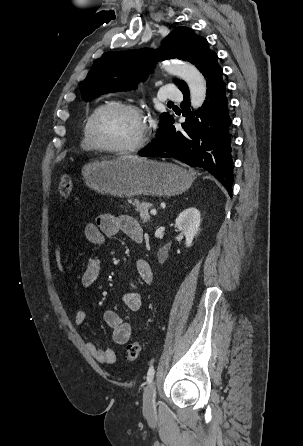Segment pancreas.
Wrapping results in <instances>:
<instances>
[{"instance_id": "cf45deb5", "label": "pancreas", "mask_w": 303, "mask_h": 446, "mask_svg": "<svg viewBox=\"0 0 303 446\" xmlns=\"http://www.w3.org/2000/svg\"><path fill=\"white\" fill-rule=\"evenodd\" d=\"M135 210L140 213V219L143 223H147L150 221V215L148 213V209L151 207V204L146 201H139L137 199L132 202Z\"/></svg>"}]
</instances>
